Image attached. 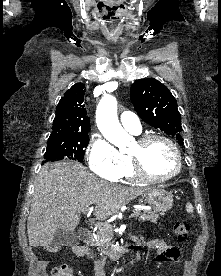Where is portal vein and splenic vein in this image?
<instances>
[{
	"mask_svg": "<svg viewBox=\"0 0 221 276\" xmlns=\"http://www.w3.org/2000/svg\"><path fill=\"white\" fill-rule=\"evenodd\" d=\"M89 211H90V209H87L83 213L86 214ZM137 216H139V212H133L131 215H129V218H133V217H137ZM106 225H108V224H102V225L96 224V226H99V227H105Z\"/></svg>",
	"mask_w": 221,
	"mask_h": 276,
	"instance_id": "obj_1",
	"label": "portal vein and splenic vein"
}]
</instances>
